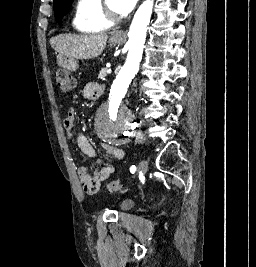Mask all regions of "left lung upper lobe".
<instances>
[{
	"mask_svg": "<svg viewBox=\"0 0 256 267\" xmlns=\"http://www.w3.org/2000/svg\"><path fill=\"white\" fill-rule=\"evenodd\" d=\"M72 1L73 0H54L55 18L58 23H61L63 16L69 12Z\"/></svg>",
	"mask_w": 256,
	"mask_h": 267,
	"instance_id": "1",
	"label": "left lung upper lobe"
}]
</instances>
